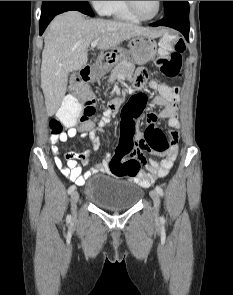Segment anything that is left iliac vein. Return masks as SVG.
Returning <instances> with one entry per match:
<instances>
[{
  "mask_svg": "<svg viewBox=\"0 0 233 295\" xmlns=\"http://www.w3.org/2000/svg\"><path fill=\"white\" fill-rule=\"evenodd\" d=\"M150 197L153 200V212L154 215L157 216L159 213V208H160V198L159 194L156 190H151L150 191Z\"/></svg>",
  "mask_w": 233,
  "mask_h": 295,
  "instance_id": "obj_1",
  "label": "left iliac vein"
}]
</instances>
